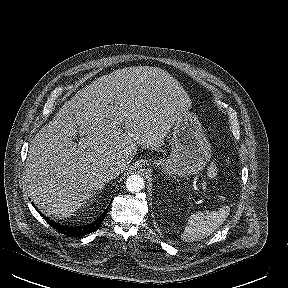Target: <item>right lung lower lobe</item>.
I'll return each mask as SVG.
<instances>
[{
  "label": "right lung lower lobe",
  "instance_id": "right-lung-lower-lobe-1",
  "mask_svg": "<svg viewBox=\"0 0 288 288\" xmlns=\"http://www.w3.org/2000/svg\"><path fill=\"white\" fill-rule=\"evenodd\" d=\"M108 207L102 213V215H100V217L97 218L94 222H92L91 224H88L85 226H79V227H68V226L60 225L58 223L51 221L50 219H48L44 215H42V216L47 221V223H49V225H51L57 231L65 234L67 236H70V237H78V236L86 235V234H89L91 232L96 231L99 228V226L102 224V222H103V220L107 214Z\"/></svg>",
  "mask_w": 288,
  "mask_h": 288
}]
</instances>
